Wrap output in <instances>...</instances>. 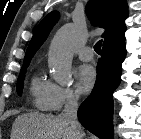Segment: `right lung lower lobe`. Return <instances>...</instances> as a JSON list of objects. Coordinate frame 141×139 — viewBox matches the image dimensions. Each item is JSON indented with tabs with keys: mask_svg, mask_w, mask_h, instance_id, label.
<instances>
[{
	"mask_svg": "<svg viewBox=\"0 0 141 139\" xmlns=\"http://www.w3.org/2000/svg\"><path fill=\"white\" fill-rule=\"evenodd\" d=\"M125 56V36L103 46L95 86L78 109L80 123L100 139H113V92L121 82Z\"/></svg>",
	"mask_w": 141,
	"mask_h": 139,
	"instance_id": "1",
	"label": "right lung lower lobe"
}]
</instances>
